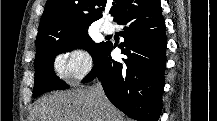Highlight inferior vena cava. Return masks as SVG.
<instances>
[{
    "label": "inferior vena cava",
    "instance_id": "1",
    "mask_svg": "<svg viewBox=\"0 0 217 121\" xmlns=\"http://www.w3.org/2000/svg\"><path fill=\"white\" fill-rule=\"evenodd\" d=\"M94 93L96 95L97 101L101 103L104 99H106L103 87L100 82H97L95 87L93 88Z\"/></svg>",
    "mask_w": 217,
    "mask_h": 121
}]
</instances>
